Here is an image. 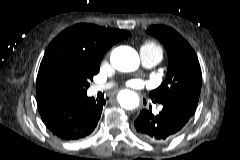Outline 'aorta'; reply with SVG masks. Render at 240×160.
<instances>
[{
  "mask_svg": "<svg viewBox=\"0 0 240 160\" xmlns=\"http://www.w3.org/2000/svg\"><path fill=\"white\" fill-rule=\"evenodd\" d=\"M112 66L119 71H133L139 65L137 52L127 46L115 48L110 56ZM118 102L124 109H134L139 105L138 95L130 90L121 91L118 95Z\"/></svg>",
  "mask_w": 240,
  "mask_h": 160,
  "instance_id": "aorta-1",
  "label": "aorta"
}]
</instances>
